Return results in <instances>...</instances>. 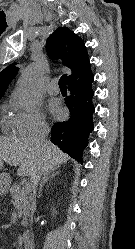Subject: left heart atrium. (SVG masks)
Wrapping results in <instances>:
<instances>
[{
    "mask_svg": "<svg viewBox=\"0 0 135 249\" xmlns=\"http://www.w3.org/2000/svg\"><path fill=\"white\" fill-rule=\"evenodd\" d=\"M51 112L54 114V115H58L59 114V112H60V109H59V107L57 106V105H55V104H53V105H51Z\"/></svg>",
    "mask_w": 135,
    "mask_h": 249,
    "instance_id": "1",
    "label": "left heart atrium"
}]
</instances>
